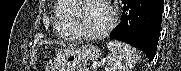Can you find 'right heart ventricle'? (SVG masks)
Returning <instances> with one entry per match:
<instances>
[{"mask_svg":"<svg viewBox=\"0 0 181 71\" xmlns=\"http://www.w3.org/2000/svg\"><path fill=\"white\" fill-rule=\"evenodd\" d=\"M72 4L64 0L56 1L54 28L56 33L64 39H77L70 25Z\"/></svg>","mask_w":181,"mask_h":71,"instance_id":"right-heart-ventricle-1","label":"right heart ventricle"}]
</instances>
